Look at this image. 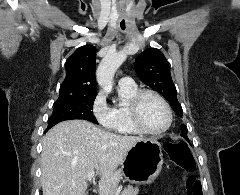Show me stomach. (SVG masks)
I'll return each mask as SVG.
<instances>
[{"mask_svg": "<svg viewBox=\"0 0 240 195\" xmlns=\"http://www.w3.org/2000/svg\"><path fill=\"white\" fill-rule=\"evenodd\" d=\"M163 165L161 143L157 137H143L129 149L121 163L122 175L130 183H153Z\"/></svg>", "mask_w": 240, "mask_h": 195, "instance_id": "stomach-1", "label": "stomach"}]
</instances>
